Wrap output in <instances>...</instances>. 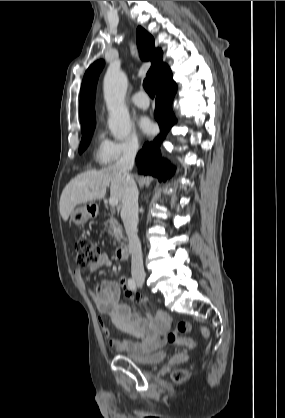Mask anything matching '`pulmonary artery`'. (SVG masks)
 I'll return each instance as SVG.
<instances>
[{
  "instance_id": "obj_1",
  "label": "pulmonary artery",
  "mask_w": 285,
  "mask_h": 418,
  "mask_svg": "<svg viewBox=\"0 0 285 418\" xmlns=\"http://www.w3.org/2000/svg\"><path fill=\"white\" fill-rule=\"evenodd\" d=\"M132 102L135 106L142 108V109L148 108L150 105V101L147 95L143 91L138 92L133 97Z\"/></svg>"
}]
</instances>
